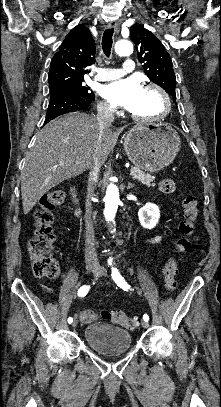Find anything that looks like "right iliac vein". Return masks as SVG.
I'll list each match as a JSON object with an SVG mask.
<instances>
[{
    "label": "right iliac vein",
    "mask_w": 221,
    "mask_h": 407,
    "mask_svg": "<svg viewBox=\"0 0 221 407\" xmlns=\"http://www.w3.org/2000/svg\"><path fill=\"white\" fill-rule=\"evenodd\" d=\"M86 270H87V273L97 272V267L94 266L93 264H87ZM77 323H78L77 317H74V320L72 322V326L75 327L77 325Z\"/></svg>",
    "instance_id": "obj_1"
}]
</instances>
